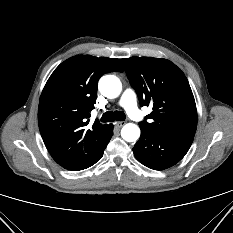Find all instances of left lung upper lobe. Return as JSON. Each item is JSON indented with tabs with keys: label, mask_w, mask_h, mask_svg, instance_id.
Masks as SVG:
<instances>
[{
	"label": "left lung upper lobe",
	"mask_w": 233,
	"mask_h": 233,
	"mask_svg": "<svg viewBox=\"0 0 233 233\" xmlns=\"http://www.w3.org/2000/svg\"><path fill=\"white\" fill-rule=\"evenodd\" d=\"M129 81L141 106H153L151 114L139 123L141 128L159 134L194 138L197 110L184 73L171 61L152 57L122 59Z\"/></svg>",
	"instance_id": "5c2ea615"
}]
</instances>
